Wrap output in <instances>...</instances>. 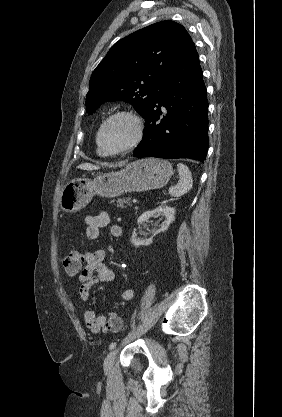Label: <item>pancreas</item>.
<instances>
[{
  "mask_svg": "<svg viewBox=\"0 0 282 417\" xmlns=\"http://www.w3.org/2000/svg\"><path fill=\"white\" fill-rule=\"evenodd\" d=\"M131 196H124V198H113L111 202H116V206H120V209H126V204H129V206H132L131 202Z\"/></svg>",
  "mask_w": 282,
  "mask_h": 417,
  "instance_id": "pancreas-1",
  "label": "pancreas"
}]
</instances>
